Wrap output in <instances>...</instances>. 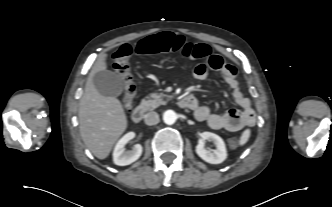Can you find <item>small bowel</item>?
I'll return each mask as SVG.
<instances>
[{
  "label": "small bowel",
  "instance_id": "1",
  "mask_svg": "<svg viewBox=\"0 0 332 207\" xmlns=\"http://www.w3.org/2000/svg\"><path fill=\"white\" fill-rule=\"evenodd\" d=\"M210 71H215L226 81L232 90V96L239 109H229L224 113H215L207 105L200 104L196 99L190 108L197 120L207 123L214 130L239 131L252 126L256 122V114L250 100L243 94L237 80L236 68L217 55L209 58L206 63H199L193 69V75L198 80H206Z\"/></svg>",
  "mask_w": 332,
  "mask_h": 207
}]
</instances>
